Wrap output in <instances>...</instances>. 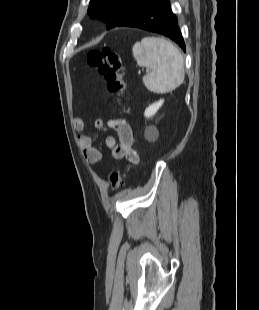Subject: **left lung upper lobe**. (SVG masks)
I'll return each instance as SVG.
<instances>
[{
	"mask_svg": "<svg viewBox=\"0 0 259 310\" xmlns=\"http://www.w3.org/2000/svg\"><path fill=\"white\" fill-rule=\"evenodd\" d=\"M149 0H90L88 15L107 23V29L114 28L131 9Z\"/></svg>",
	"mask_w": 259,
	"mask_h": 310,
	"instance_id": "5c2ea615",
	"label": "left lung upper lobe"
}]
</instances>
